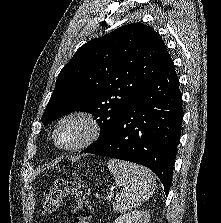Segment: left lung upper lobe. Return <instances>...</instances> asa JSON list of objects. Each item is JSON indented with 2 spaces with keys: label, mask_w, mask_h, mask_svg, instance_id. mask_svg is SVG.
Segmentation results:
<instances>
[{
  "label": "left lung upper lobe",
  "mask_w": 221,
  "mask_h": 223,
  "mask_svg": "<svg viewBox=\"0 0 221 223\" xmlns=\"http://www.w3.org/2000/svg\"><path fill=\"white\" fill-rule=\"evenodd\" d=\"M168 54L159 34L143 23L85 43L59 73L43 124L73 111L91 113L101 132L90 146L97 144L158 75Z\"/></svg>",
  "instance_id": "left-lung-upper-lobe-1"
}]
</instances>
